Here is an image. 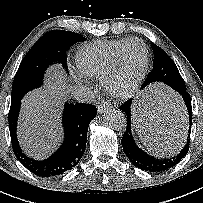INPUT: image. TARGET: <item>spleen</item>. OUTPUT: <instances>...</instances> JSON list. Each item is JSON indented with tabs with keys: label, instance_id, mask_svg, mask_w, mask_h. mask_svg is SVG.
<instances>
[{
	"label": "spleen",
	"instance_id": "obj_1",
	"mask_svg": "<svg viewBox=\"0 0 203 203\" xmlns=\"http://www.w3.org/2000/svg\"><path fill=\"white\" fill-rule=\"evenodd\" d=\"M148 97L150 98L154 108L158 110H167L169 108V104H177V102H179V104L178 106L175 105L176 109H178V107L183 108L178 96L164 87H156L155 89L151 90ZM184 141L185 135L180 137L174 144L165 149L163 153H169L170 155L176 154L182 148Z\"/></svg>",
	"mask_w": 203,
	"mask_h": 203
}]
</instances>
